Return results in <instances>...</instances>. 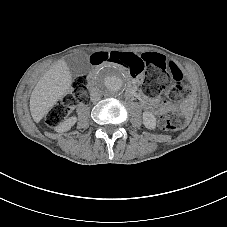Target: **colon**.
<instances>
[{
  "label": "colon",
  "mask_w": 227,
  "mask_h": 227,
  "mask_svg": "<svg viewBox=\"0 0 227 227\" xmlns=\"http://www.w3.org/2000/svg\"><path fill=\"white\" fill-rule=\"evenodd\" d=\"M91 62L94 65L103 63H114L128 71L132 76H143V88L149 95H159L168 88V77L170 73L175 86L169 91L172 99L181 97L186 93V88L182 83V73L172 62H167L165 58L157 53H145L136 55L129 52H99L95 53ZM88 100L87 82L84 77H77L73 80L71 91L66 94L56 105H54L46 115V124L56 127L64 121L70 111L76 105L85 104ZM184 116L179 113H164L159 119V126L166 131L179 130L184 124Z\"/></svg>",
  "instance_id": "5ec220e1"
}]
</instances>
